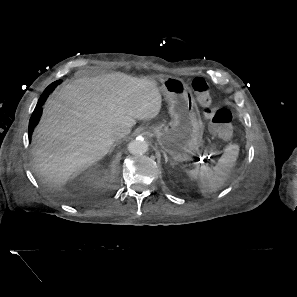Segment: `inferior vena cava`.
<instances>
[{"mask_svg": "<svg viewBox=\"0 0 297 297\" xmlns=\"http://www.w3.org/2000/svg\"><path fill=\"white\" fill-rule=\"evenodd\" d=\"M130 133V128L125 126L116 127L113 131V138L118 141Z\"/></svg>", "mask_w": 297, "mask_h": 297, "instance_id": "obj_1", "label": "inferior vena cava"}]
</instances>
